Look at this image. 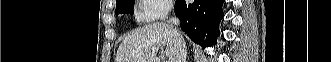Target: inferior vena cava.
<instances>
[{
	"label": "inferior vena cava",
	"mask_w": 331,
	"mask_h": 62,
	"mask_svg": "<svg viewBox=\"0 0 331 62\" xmlns=\"http://www.w3.org/2000/svg\"><path fill=\"white\" fill-rule=\"evenodd\" d=\"M180 23V20L178 18H170L169 24L178 26ZM174 31L175 35V62H186V45L184 42L183 37L177 32Z\"/></svg>",
	"instance_id": "1"
}]
</instances>
